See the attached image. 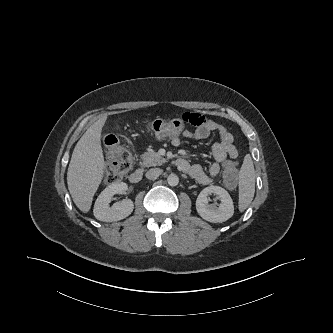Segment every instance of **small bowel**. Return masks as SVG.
Segmentation results:
<instances>
[{"instance_id": "1", "label": "small bowel", "mask_w": 333, "mask_h": 333, "mask_svg": "<svg viewBox=\"0 0 333 333\" xmlns=\"http://www.w3.org/2000/svg\"><path fill=\"white\" fill-rule=\"evenodd\" d=\"M183 118L191 121L200 120L201 123L195 130L184 129L181 134L182 137L202 140L208 138L212 133H217L220 137V141L212 146L214 161L207 171L198 164H189L185 159L182 160L187 162L186 165L179 166L200 184H210L220 174L222 165L227 158L233 160L238 158V151L234 145V138L223 125L211 119H203L200 116H194L190 113L184 114ZM171 143L173 146L178 147L181 144L180 137L172 138Z\"/></svg>"}]
</instances>
